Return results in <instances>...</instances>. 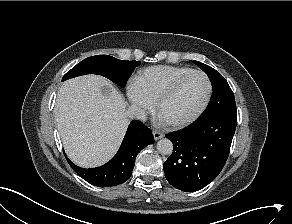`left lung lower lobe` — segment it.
Here are the masks:
<instances>
[{"label":"left lung lower lobe","instance_id":"1","mask_svg":"<svg viewBox=\"0 0 292 224\" xmlns=\"http://www.w3.org/2000/svg\"><path fill=\"white\" fill-rule=\"evenodd\" d=\"M236 107L226 108L165 135L174 145L164 173L175 188L192 192L207 186L224 167L236 129Z\"/></svg>","mask_w":292,"mask_h":224}]
</instances>
